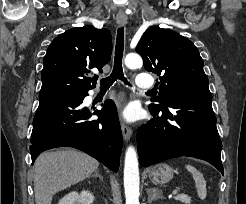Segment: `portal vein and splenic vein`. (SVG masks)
Returning a JSON list of instances; mask_svg holds the SVG:
<instances>
[{
    "label": "portal vein and splenic vein",
    "instance_id": "18ae733b",
    "mask_svg": "<svg viewBox=\"0 0 246 204\" xmlns=\"http://www.w3.org/2000/svg\"><path fill=\"white\" fill-rule=\"evenodd\" d=\"M173 194H174V195L178 194V190H174V191H173Z\"/></svg>",
    "mask_w": 246,
    "mask_h": 204
}]
</instances>
